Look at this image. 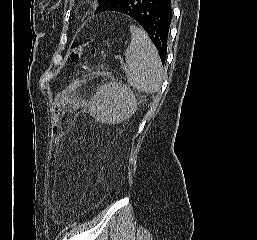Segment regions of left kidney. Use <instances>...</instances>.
I'll list each match as a JSON object with an SVG mask.
<instances>
[{
    "label": "left kidney",
    "mask_w": 257,
    "mask_h": 240,
    "mask_svg": "<svg viewBox=\"0 0 257 240\" xmlns=\"http://www.w3.org/2000/svg\"><path fill=\"white\" fill-rule=\"evenodd\" d=\"M136 105L135 95L129 87L112 82L100 87L96 93L93 116L98 121L119 123L134 113Z\"/></svg>",
    "instance_id": "1"
}]
</instances>
